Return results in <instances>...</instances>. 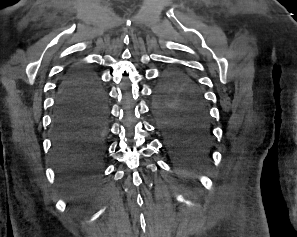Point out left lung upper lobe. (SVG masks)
I'll use <instances>...</instances> for the list:
<instances>
[{"mask_svg":"<svg viewBox=\"0 0 297 237\" xmlns=\"http://www.w3.org/2000/svg\"><path fill=\"white\" fill-rule=\"evenodd\" d=\"M185 101H197L205 105L204 97L196 83L181 70H173L158 85L155 105L171 106Z\"/></svg>","mask_w":297,"mask_h":237,"instance_id":"obj_1","label":"left lung upper lobe"}]
</instances>
